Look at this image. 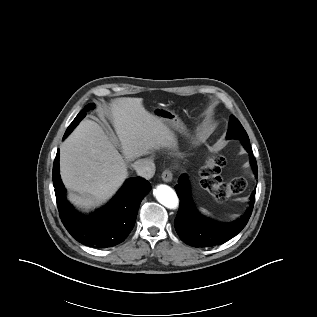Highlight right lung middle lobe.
Instances as JSON below:
<instances>
[{"instance_id":"right-lung-middle-lobe-1","label":"right lung middle lobe","mask_w":317,"mask_h":317,"mask_svg":"<svg viewBox=\"0 0 317 317\" xmlns=\"http://www.w3.org/2000/svg\"><path fill=\"white\" fill-rule=\"evenodd\" d=\"M92 107H93V104L90 103L86 105L83 110L79 112V114L76 116V118L73 120V122L70 124V126L66 130L63 138L67 137V135L75 128V126L85 117L86 111H88Z\"/></svg>"}]
</instances>
